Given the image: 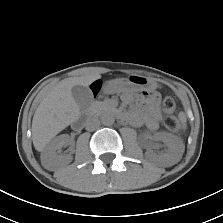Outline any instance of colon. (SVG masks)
Returning a JSON list of instances; mask_svg holds the SVG:
<instances>
[{"label": "colon", "mask_w": 223, "mask_h": 223, "mask_svg": "<svg viewBox=\"0 0 223 223\" xmlns=\"http://www.w3.org/2000/svg\"><path fill=\"white\" fill-rule=\"evenodd\" d=\"M164 110L166 111L167 115L164 117V125L173 132L179 131V124L178 121L174 116L170 113L175 108V101L172 97H166L163 102Z\"/></svg>", "instance_id": "colon-1"}]
</instances>
